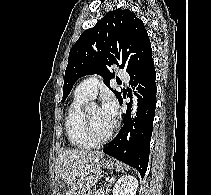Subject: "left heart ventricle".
Returning <instances> with one entry per match:
<instances>
[{
	"label": "left heart ventricle",
	"instance_id": "b2bd125f",
	"mask_svg": "<svg viewBox=\"0 0 211 195\" xmlns=\"http://www.w3.org/2000/svg\"><path fill=\"white\" fill-rule=\"evenodd\" d=\"M88 113L91 119L94 134L98 137L105 136L112 128L114 122H111L104 117L100 108L98 107L89 108Z\"/></svg>",
	"mask_w": 211,
	"mask_h": 195
}]
</instances>
